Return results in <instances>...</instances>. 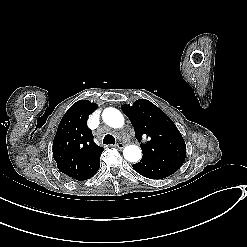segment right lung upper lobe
<instances>
[{
	"instance_id": "right-lung-upper-lobe-1",
	"label": "right lung upper lobe",
	"mask_w": 247,
	"mask_h": 247,
	"mask_svg": "<svg viewBox=\"0 0 247 247\" xmlns=\"http://www.w3.org/2000/svg\"><path fill=\"white\" fill-rule=\"evenodd\" d=\"M97 104L88 100L74 103L63 116L54 141L53 158L58 169L73 179L84 176L99 160L104 148L93 141L88 116Z\"/></svg>"
}]
</instances>
